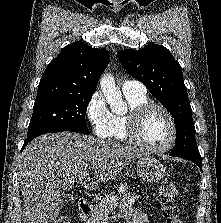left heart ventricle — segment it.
Instances as JSON below:
<instances>
[{"instance_id":"1","label":"left heart ventricle","mask_w":221,"mask_h":223,"mask_svg":"<svg viewBox=\"0 0 221 223\" xmlns=\"http://www.w3.org/2000/svg\"><path fill=\"white\" fill-rule=\"evenodd\" d=\"M139 135L150 145H165L171 137V126L167 116L157 109L149 111L143 118Z\"/></svg>"}]
</instances>
